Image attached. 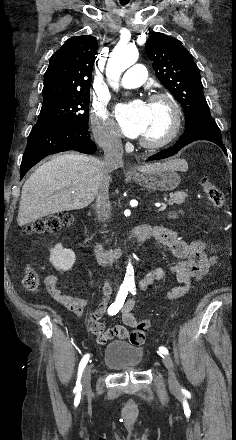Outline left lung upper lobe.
<instances>
[{
    "label": "left lung upper lobe",
    "mask_w": 236,
    "mask_h": 440,
    "mask_svg": "<svg viewBox=\"0 0 236 440\" xmlns=\"http://www.w3.org/2000/svg\"><path fill=\"white\" fill-rule=\"evenodd\" d=\"M147 56L159 81L181 104L188 128L211 115L203 93L200 72L192 55L175 39L163 33L152 34L146 44Z\"/></svg>",
    "instance_id": "1"
}]
</instances>
